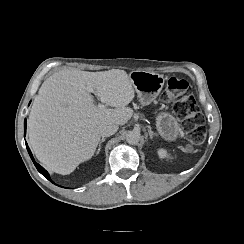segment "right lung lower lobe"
Here are the masks:
<instances>
[{"label": "right lung lower lobe", "mask_w": 244, "mask_h": 244, "mask_svg": "<svg viewBox=\"0 0 244 244\" xmlns=\"http://www.w3.org/2000/svg\"><path fill=\"white\" fill-rule=\"evenodd\" d=\"M25 134H26V119H25V121H24V136H25ZM26 147H27L28 153H29V155H30L32 161L34 162V165L36 166L37 170H38L43 176H45L49 181L52 182V180H51L50 177H49L48 172H47L42 166H40L38 163L35 162V160H34V158H33V155H32V153H31V151H30V149H29L27 143H26ZM52 183H53V182H52Z\"/></svg>", "instance_id": "obj_1"}]
</instances>
